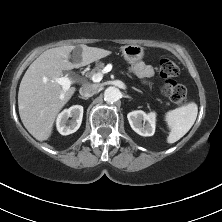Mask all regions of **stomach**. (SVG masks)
Masks as SVG:
<instances>
[{
    "mask_svg": "<svg viewBox=\"0 0 222 222\" xmlns=\"http://www.w3.org/2000/svg\"><path fill=\"white\" fill-rule=\"evenodd\" d=\"M124 59L129 63H135L144 56V48L137 44L125 45L121 48Z\"/></svg>",
    "mask_w": 222,
    "mask_h": 222,
    "instance_id": "1",
    "label": "stomach"
}]
</instances>
